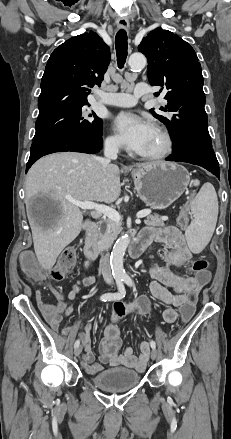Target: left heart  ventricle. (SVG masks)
<instances>
[{
    "label": "left heart ventricle",
    "mask_w": 231,
    "mask_h": 439,
    "mask_svg": "<svg viewBox=\"0 0 231 439\" xmlns=\"http://www.w3.org/2000/svg\"><path fill=\"white\" fill-rule=\"evenodd\" d=\"M164 146L161 134L154 129L145 146L141 150V154H153L159 152Z\"/></svg>",
    "instance_id": "obj_1"
}]
</instances>
